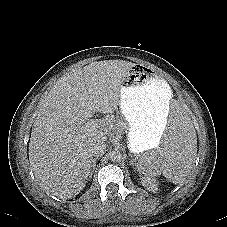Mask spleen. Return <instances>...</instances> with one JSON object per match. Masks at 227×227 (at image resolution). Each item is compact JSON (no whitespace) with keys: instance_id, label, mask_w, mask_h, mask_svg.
Segmentation results:
<instances>
[{"instance_id":"3e777b00","label":"spleen","mask_w":227,"mask_h":227,"mask_svg":"<svg viewBox=\"0 0 227 227\" xmlns=\"http://www.w3.org/2000/svg\"><path fill=\"white\" fill-rule=\"evenodd\" d=\"M197 155V138L188 109L175 103L169 109L168 133L160 150H146L137 159V169L146 176L163 174L170 182H184Z\"/></svg>"}]
</instances>
